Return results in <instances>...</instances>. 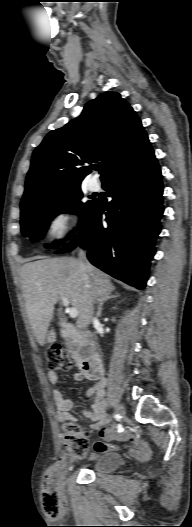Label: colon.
Segmentation results:
<instances>
[{"label": "colon", "instance_id": "colon-1", "mask_svg": "<svg viewBox=\"0 0 192 527\" xmlns=\"http://www.w3.org/2000/svg\"><path fill=\"white\" fill-rule=\"evenodd\" d=\"M48 364L51 369L60 371H68L73 366L68 353L59 346L49 348ZM62 443L68 455L75 459L84 457L90 447L88 433L76 421L64 424ZM44 501L47 507H53L57 503V498L54 493H46Z\"/></svg>", "mask_w": 192, "mask_h": 527}]
</instances>
